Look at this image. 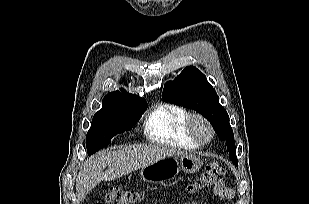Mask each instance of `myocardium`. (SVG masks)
Here are the masks:
<instances>
[{"label":"myocardium","instance_id":"obj_1","mask_svg":"<svg viewBox=\"0 0 309 204\" xmlns=\"http://www.w3.org/2000/svg\"><path fill=\"white\" fill-rule=\"evenodd\" d=\"M198 123H202L207 127L209 134L206 138H202L200 135H198L196 131V125ZM186 130L191 139H193L199 145H205L210 143L215 136V131L210 121L205 116L199 113L189 114L186 121Z\"/></svg>","mask_w":309,"mask_h":204}]
</instances>
